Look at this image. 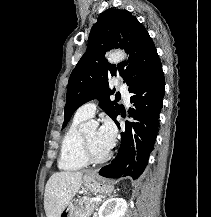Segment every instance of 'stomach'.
<instances>
[{
    "label": "stomach",
    "instance_id": "1",
    "mask_svg": "<svg viewBox=\"0 0 211 217\" xmlns=\"http://www.w3.org/2000/svg\"><path fill=\"white\" fill-rule=\"evenodd\" d=\"M84 187L94 193H110L113 191V186L102 179L95 172H89L83 178ZM76 204L70 201L65 205L59 217H75Z\"/></svg>",
    "mask_w": 211,
    "mask_h": 217
}]
</instances>
